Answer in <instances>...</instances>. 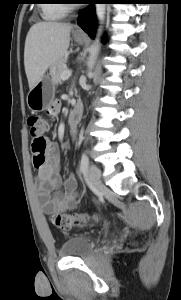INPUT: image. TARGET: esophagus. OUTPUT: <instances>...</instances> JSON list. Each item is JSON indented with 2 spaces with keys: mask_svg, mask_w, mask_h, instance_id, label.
I'll return each mask as SVG.
<instances>
[{
  "mask_svg": "<svg viewBox=\"0 0 181 300\" xmlns=\"http://www.w3.org/2000/svg\"><path fill=\"white\" fill-rule=\"evenodd\" d=\"M74 32L83 34V31L77 25L74 27Z\"/></svg>",
  "mask_w": 181,
  "mask_h": 300,
  "instance_id": "esophagus-1",
  "label": "esophagus"
}]
</instances>
